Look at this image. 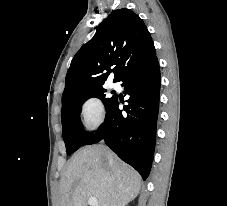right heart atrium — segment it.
Instances as JSON below:
<instances>
[{"instance_id":"obj_1","label":"right heart atrium","mask_w":227,"mask_h":206,"mask_svg":"<svg viewBox=\"0 0 227 206\" xmlns=\"http://www.w3.org/2000/svg\"><path fill=\"white\" fill-rule=\"evenodd\" d=\"M80 116L82 124L87 130H96L105 118V110L102 102L96 97L85 99L80 106Z\"/></svg>"}]
</instances>
